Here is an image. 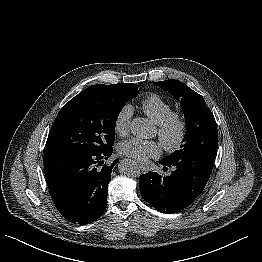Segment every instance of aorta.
<instances>
[{
    "instance_id": "obj_1",
    "label": "aorta",
    "mask_w": 262,
    "mask_h": 262,
    "mask_svg": "<svg viewBox=\"0 0 262 262\" xmlns=\"http://www.w3.org/2000/svg\"><path fill=\"white\" fill-rule=\"evenodd\" d=\"M131 133L138 138H150L154 134V127L146 118H134L130 125ZM119 172L128 178L140 176L138 164L131 159H123L118 164Z\"/></svg>"
}]
</instances>
